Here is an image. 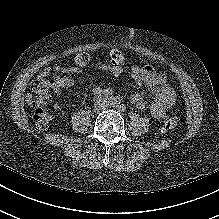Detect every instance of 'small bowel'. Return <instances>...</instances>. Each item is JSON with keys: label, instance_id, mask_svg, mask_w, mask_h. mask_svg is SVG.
Masks as SVG:
<instances>
[{"label": "small bowel", "instance_id": "small-bowel-1", "mask_svg": "<svg viewBox=\"0 0 219 219\" xmlns=\"http://www.w3.org/2000/svg\"><path fill=\"white\" fill-rule=\"evenodd\" d=\"M111 66L106 69L110 70L114 76H120L128 72L134 82L138 86L145 85L150 92L153 100L150 105L144 100V96L140 92L131 95L130 102L138 109L145 110L149 108L152 117L160 120L164 117L166 110L172 107L176 100V94L172 86L168 82L165 74L159 73L155 68L150 65L138 66L130 62L129 57L125 52L119 49H113L110 52ZM78 67L73 68L74 71H80L83 65L77 64ZM53 70L60 72V67H53ZM47 68L45 72H48ZM74 81L67 76L59 74L52 83V89L57 96H60L63 90L71 88ZM108 90L101 88L95 89V94L104 95L108 94Z\"/></svg>", "mask_w": 219, "mask_h": 219}]
</instances>
